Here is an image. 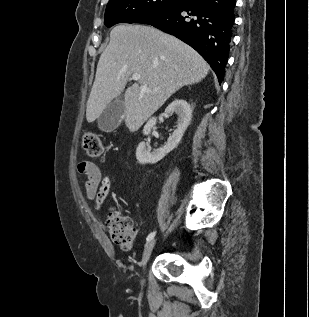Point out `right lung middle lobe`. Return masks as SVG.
Listing matches in <instances>:
<instances>
[{
    "label": "right lung middle lobe",
    "mask_w": 309,
    "mask_h": 317,
    "mask_svg": "<svg viewBox=\"0 0 309 317\" xmlns=\"http://www.w3.org/2000/svg\"><path fill=\"white\" fill-rule=\"evenodd\" d=\"M187 0H109L104 24L135 23L141 17L178 7Z\"/></svg>",
    "instance_id": "dd1d6c3e"
}]
</instances>
